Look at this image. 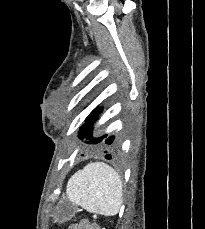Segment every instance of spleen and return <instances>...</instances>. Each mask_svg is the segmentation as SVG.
<instances>
[{"label":"spleen","instance_id":"obj_1","mask_svg":"<svg viewBox=\"0 0 205 229\" xmlns=\"http://www.w3.org/2000/svg\"><path fill=\"white\" fill-rule=\"evenodd\" d=\"M66 194L71 203L88 212L113 216L122 205V181L109 165L93 162L69 179Z\"/></svg>","mask_w":205,"mask_h":229}]
</instances>
